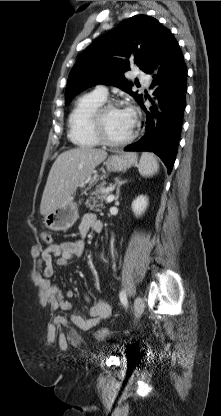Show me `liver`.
I'll return each instance as SVG.
<instances>
[{
	"instance_id": "6515ba94",
	"label": "liver",
	"mask_w": 221,
	"mask_h": 416,
	"mask_svg": "<svg viewBox=\"0 0 221 416\" xmlns=\"http://www.w3.org/2000/svg\"><path fill=\"white\" fill-rule=\"evenodd\" d=\"M107 158V152L75 148L61 153L53 163L43 191L40 213L48 215L66 203L77 187Z\"/></svg>"
}]
</instances>
